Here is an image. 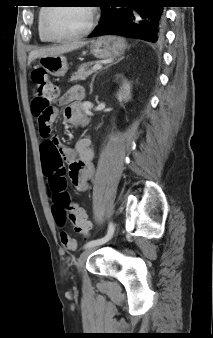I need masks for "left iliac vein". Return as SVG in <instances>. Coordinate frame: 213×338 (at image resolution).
<instances>
[{"mask_svg": "<svg viewBox=\"0 0 213 338\" xmlns=\"http://www.w3.org/2000/svg\"><path fill=\"white\" fill-rule=\"evenodd\" d=\"M97 248V246H93L90 248L85 249L79 256V259L77 261V268L79 271H81L85 265V262L88 258V256Z\"/></svg>", "mask_w": 213, "mask_h": 338, "instance_id": "4c4485c4", "label": "left iliac vein"}]
</instances>
